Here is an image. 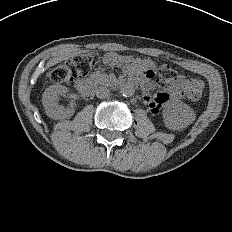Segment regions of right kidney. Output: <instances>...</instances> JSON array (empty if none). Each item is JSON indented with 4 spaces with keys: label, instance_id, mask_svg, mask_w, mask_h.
<instances>
[{
    "label": "right kidney",
    "instance_id": "obj_1",
    "mask_svg": "<svg viewBox=\"0 0 232 232\" xmlns=\"http://www.w3.org/2000/svg\"><path fill=\"white\" fill-rule=\"evenodd\" d=\"M68 92L69 88L58 84L51 85L45 89L42 95V104L49 118L63 120L69 119L74 115V109L58 105L59 95H66Z\"/></svg>",
    "mask_w": 232,
    "mask_h": 232
}]
</instances>
